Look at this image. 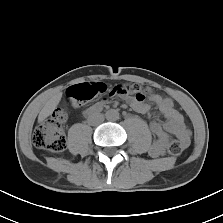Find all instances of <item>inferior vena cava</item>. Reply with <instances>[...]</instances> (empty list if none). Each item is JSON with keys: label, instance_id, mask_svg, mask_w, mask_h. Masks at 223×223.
I'll return each mask as SVG.
<instances>
[{"label": "inferior vena cava", "instance_id": "obj_1", "mask_svg": "<svg viewBox=\"0 0 223 223\" xmlns=\"http://www.w3.org/2000/svg\"><path fill=\"white\" fill-rule=\"evenodd\" d=\"M93 120L95 121L96 124H98V123L104 121V116H103L102 114H100V113H95V114L91 117L90 121H93Z\"/></svg>", "mask_w": 223, "mask_h": 223}]
</instances>
